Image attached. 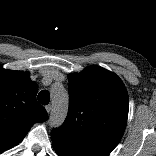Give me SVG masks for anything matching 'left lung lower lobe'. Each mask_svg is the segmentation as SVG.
Wrapping results in <instances>:
<instances>
[{"instance_id":"obj_1","label":"left lung lower lobe","mask_w":156,"mask_h":156,"mask_svg":"<svg viewBox=\"0 0 156 156\" xmlns=\"http://www.w3.org/2000/svg\"><path fill=\"white\" fill-rule=\"evenodd\" d=\"M54 148L59 156H101L95 152L75 146L67 140L51 133Z\"/></svg>"}]
</instances>
